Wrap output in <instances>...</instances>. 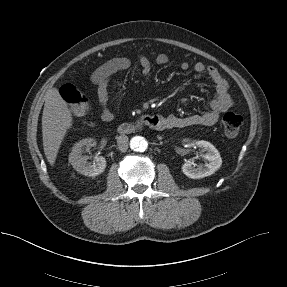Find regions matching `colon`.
<instances>
[{
	"label": "colon",
	"mask_w": 287,
	"mask_h": 287,
	"mask_svg": "<svg viewBox=\"0 0 287 287\" xmlns=\"http://www.w3.org/2000/svg\"><path fill=\"white\" fill-rule=\"evenodd\" d=\"M62 98L72 106L76 115H84L88 110V101L86 97L73 85L66 84L60 89ZM243 124L241 115L235 112H227L222 118L224 133L228 137L238 135Z\"/></svg>",
	"instance_id": "5ec220e1"
}]
</instances>
